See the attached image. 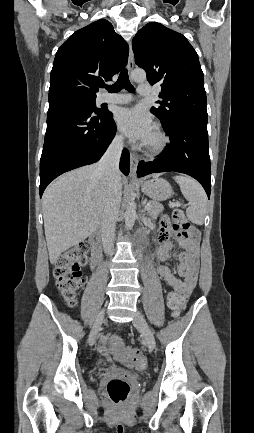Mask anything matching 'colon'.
Wrapping results in <instances>:
<instances>
[{"instance_id": "obj_1", "label": "colon", "mask_w": 254, "mask_h": 433, "mask_svg": "<svg viewBox=\"0 0 254 433\" xmlns=\"http://www.w3.org/2000/svg\"><path fill=\"white\" fill-rule=\"evenodd\" d=\"M170 220L175 229H180L184 233L193 237L198 234L196 229L193 228L186 219L182 209H174ZM86 252V245L68 249L61 255L54 268L53 273L57 289L64 301L71 307L76 305V296L84 284L81 264L85 260ZM167 303L169 309L172 310L175 316L180 313L184 306V302L176 292H171L168 295ZM111 344L116 349L120 350L121 342L117 337L111 339ZM120 358L129 367L143 369L146 365L145 357L140 354L139 351H125L122 353ZM106 391L112 402L121 403L128 398L130 394V386L124 380L112 379L107 383Z\"/></svg>"}]
</instances>
